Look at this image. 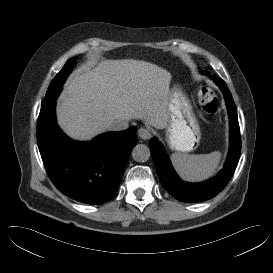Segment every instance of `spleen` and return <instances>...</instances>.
Returning <instances> with one entry per match:
<instances>
[{
    "label": "spleen",
    "instance_id": "3e777b00",
    "mask_svg": "<svg viewBox=\"0 0 273 273\" xmlns=\"http://www.w3.org/2000/svg\"><path fill=\"white\" fill-rule=\"evenodd\" d=\"M220 159L219 151L197 155L172 154V162L176 171L184 180L190 182H199L211 177L218 168Z\"/></svg>",
    "mask_w": 273,
    "mask_h": 273
}]
</instances>
